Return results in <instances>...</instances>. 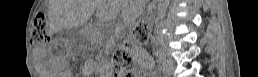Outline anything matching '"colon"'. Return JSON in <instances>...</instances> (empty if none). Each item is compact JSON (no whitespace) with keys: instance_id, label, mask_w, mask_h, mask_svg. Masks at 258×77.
Here are the masks:
<instances>
[{"instance_id":"5ec220e1","label":"colon","mask_w":258,"mask_h":77,"mask_svg":"<svg viewBox=\"0 0 258 77\" xmlns=\"http://www.w3.org/2000/svg\"><path fill=\"white\" fill-rule=\"evenodd\" d=\"M148 36L149 27L146 23H139L132 27L130 40L125 42L123 47L117 49L113 54L112 68L116 71L130 70L134 65L131 55L132 48L136 44L146 42ZM31 37L35 44L45 45L49 43L48 21L44 14H38L34 18Z\"/></svg>"}]
</instances>
